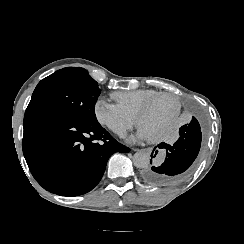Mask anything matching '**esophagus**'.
Wrapping results in <instances>:
<instances>
[{"instance_id":"obj_1","label":"esophagus","mask_w":244,"mask_h":244,"mask_svg":"<svg viewBox=\"0 0 244 244\" xmlns=\"http://www.w3.org/2000/svg\"><path fill=\"white\" fill-rule=\"evenodd\" d=\"M133 151L135 152H144V153H150L151 152V148H134Z\"/></svg>"}]
</instances>
